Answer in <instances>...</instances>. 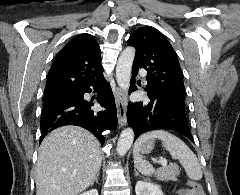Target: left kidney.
<instances>
[{"label": "left kidney", "mask_w": 240, "mask_h": 195, "mask_svg": "<svg viewBox=\"0 0 240 195\" xmlns=\"http://www.w3.org/2000/svg\"><path fill=\"white\" fill-rule=\"evenodd\" d=\"M135 191L136 195H163L160 185L151 181H137Z\"/></svg>", "instance_id": "5707ae66"}]
</instances>
